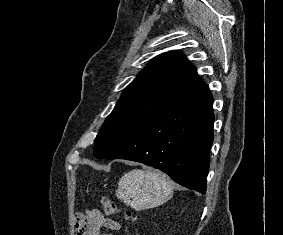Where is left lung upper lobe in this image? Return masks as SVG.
Here are the masks:
<instances>
[{
    "label": "left lung upper lobe",
    "mask_w": 283,
    "mask_h": 235,
    "mask_svg": "<svg viewBox=\"0 0 283 235\" xmlns=\"http://www.w3.org/2000/svg\"><path fill=\"white\" fill-rule=\"evenodd\" d=\"M204 85L184 54L155 57L124 89L94 142L97 158L108 157L157 116Z\"/></svg>",
    "instance_id": "left-lung-upper-lobe-1"
}]
</instances>
